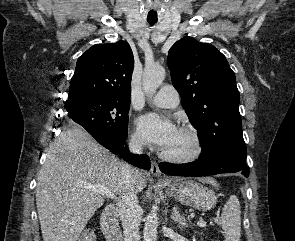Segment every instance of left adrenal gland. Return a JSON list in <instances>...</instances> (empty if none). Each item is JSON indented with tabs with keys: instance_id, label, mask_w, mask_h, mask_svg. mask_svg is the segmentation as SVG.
<instances>
[{
	"instance_id": "1",
	"label": "left adrenal gland",
	"mask_w": 295,
	"mask_h": 241,
	"mask_svg": "<svg viewBox=\"0 0 295 241\" xmlns=\"http://www.w3.org/2000/svg\"><path fill=\"white\" fill-rule=\"evenodd\" d=\"M171 218L174 222L178 223V228L183 230L188 226L189 218H186L183 215H180L179 208L174 207L171 213Z\"/></svg>"
}]
</instances>
